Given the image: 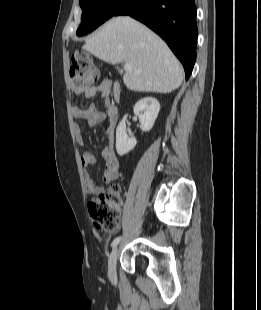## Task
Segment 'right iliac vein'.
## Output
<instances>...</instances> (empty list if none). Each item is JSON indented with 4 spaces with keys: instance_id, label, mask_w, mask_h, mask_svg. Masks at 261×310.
<instances>
[{
    "instance_id": "63e3f726",
    "label": "right iliac vein",
    "mask_w": 261,
    "mask_h": 310,
    "mask_svg": "<svg viewBox=\"0 0 261 310\" xmlns=\"http://www.w3.org/2000/svg\"><path fill=\"white\" fill-rule=\"evenodd\" d=\"M117 257H118V248L115 247L108 260V274L110 279L115 280L116 278V262H117Z\"/></svg>"
}]
</instances>
